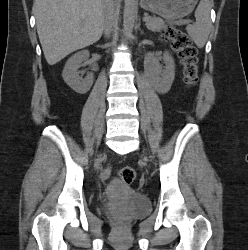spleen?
<instances>
[{
    "label": "spleen",
    "instance_id": "1",
    "mask_svg": "<svg viewBox=\"0 0 248 250\" xmlns=\"http://www.w3.org/2000/svg\"><path fill=\"white\" fill-rule=\"evenodd\" d=\"M196 22L186 27L187 33L197 47H204L211 29L210 2L201 0L195 11Z\"/></svg>",
    "mask_w": 248,
    "mask_h": 250
}]
</instances>
